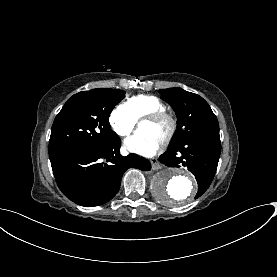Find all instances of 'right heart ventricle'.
<instances>
[{"label":"right heart ventricle","mask_w":277,"mask_h":277,"mask_svg":"<svg viewBox=\"0 0 277 277\" xmlns=\"http://www.w3.org/2000/svg\"><path fill=\"white\" fill-rule=\"evenodd\" d=\"M136 121L143 118L149 111H165L164 103L155 96L137 95L129 98L125 103Z\"/></svg>","instance_id":"right-heart-ventricle-1"}]
</instances>
